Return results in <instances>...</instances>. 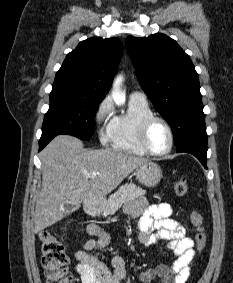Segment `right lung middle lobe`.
<instances>
[{"instance_id": "1", "label": "right lung middle lobe", "mask_w": 233, "mask_h": 283, "mask_svg": "<svg viewBox=\"0 0 233 283\" xmlns=\"http://www.w3.org/2000/svg\"><path fill=\"white\" fill-rule=\"evenodd\" d=\"M101 101L67 89L52 88L50 108L44 116L41 140L53 139L60 134L89 140L94 133L95 113Z\"/></svg>"}]
</instances>
